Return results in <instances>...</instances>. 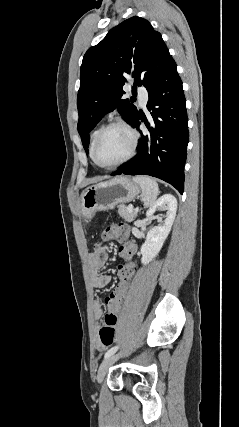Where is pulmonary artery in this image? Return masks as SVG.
I'll return each mask as SVG.
<instances>
[{
  "mask_svg": "<svg viewBox=\"0 0 239 427\" xmlns=\"http://www.w3.org/2000/svg\"><path fill=\"white\" fill-rule=\"evenodd\" d=\"M138 93H139L140 101L142 105H145L148 100L147 90L143 86H140L138 87Z\"/></svg>",
  "mask_w": 239,
  "mask_h": 427,
  "instance_id": "obj_1",
  "label": "pulmonary artery"
}]
</instances>
